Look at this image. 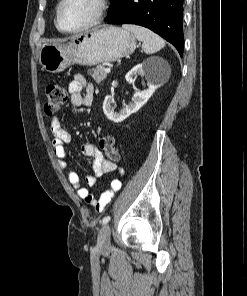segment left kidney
<instances>
[{
  "label": "left kidney",
  "instance_id": "1",
  "mask_svg": "<svg viewBox=\"0 0 247 296\" xmlns=\"http://www.w3.org/2000/svg\"><path fill=\"white\" fill-rule=\"evenodd\" d=\"M165 63L162 59H147L143 63L136 65L125 76L128 83L134 82V77L145 76L147 80V88L143 91H138L134 94L132 101L123 107L119 112H114V100L111 96H106L103 102V111L106 117L115 122H121L129 117L131 114L137 112L153 95L158 87V77L156 71L158 65Z\"/></svg>",
  "mask_w": 247,
  "mask_h": 296
}]
</instances>
